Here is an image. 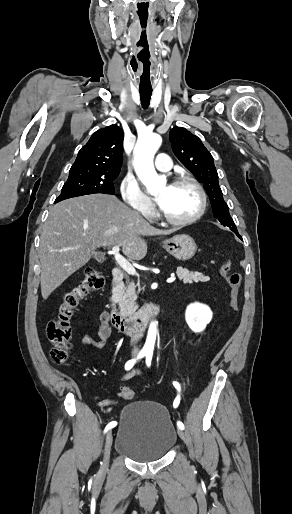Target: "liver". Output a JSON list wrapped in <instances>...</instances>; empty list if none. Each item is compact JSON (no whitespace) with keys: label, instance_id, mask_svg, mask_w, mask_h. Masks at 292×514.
<instances>
[{"label":"liver","instance_id":"6515ba94","mask_svg":"<svg viewBox=\"0 0 292 514\" xmlns=\"http://www.w3.org/2000/svg\"><path fill=\"white\" fill-rule=\"evenodd\" d=\"M116 196L91 194L59 202L49 210L40 238L41 294L44 300L71 274L89 262L99 246H122L129 260H143L147 244L140 236H168Z\"/></svg>","mask_w":292,"mask_h":514}]
</instances>
